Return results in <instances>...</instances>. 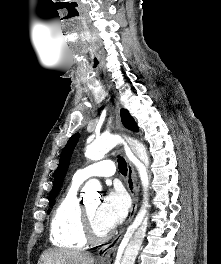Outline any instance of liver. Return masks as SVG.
Segmentation results:
<instances>
[{
	"label": "liver",
	"instance_id": "1",
	"mask_svg": "<svg viewBox=\"0 0 221 264\" xmlns=\"http://www.w3.org/2000/svg\"><path fill=\"white\" fill-rule=\"evenodd\" d=\"M38 264H94V257L86 251L49 249L41 254Z\"/></svg>",
	"mask_w": 221,
	"mask_h": 264
}]
</instances>
